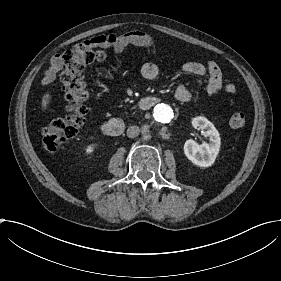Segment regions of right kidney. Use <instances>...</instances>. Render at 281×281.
Masks as SVG:
<instances>
[{
    "label": "right kidney",
    "mask_w": 281,
    "mask_h": 281,
    "mask_svg": "<svg viewBox=\"0 0 281 281\" xmlns=\"http://www.w3.org/2000/svg\"><path fill=\"white\" fill-rule=\"evenodd\" d=\"M93 150H94V145H89V146L86 147V153L87 154L92 153Z\"/></svg>",
    "instance_id": "ca27d5eb"
}]
</instances>
